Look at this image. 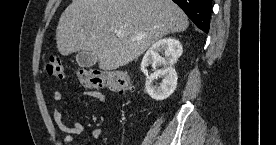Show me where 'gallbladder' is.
I'll use <instances>...</instances> for the list:
<instances>
[{"instance_id": "obj_1", "label": "gallbladder", "mask_w": 276, "mask_h": 145, "mask_svg": "<svg viewBox=\"0 0 276 145\" xmlns=\"http://www.w3.org/2000/svg\"><path fill=\"white\" fill-rule=\"evenodd\" d=\"M76 61L80 67L89 68L96 64L97 57L88 51H80L76 56Z\"/></svg>"}]
</instances>
